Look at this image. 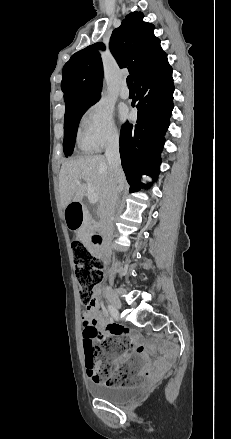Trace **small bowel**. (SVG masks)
<instances>
[{"mask_svg":"<svg viewBox=\"0 0 231 439\" xmlns=\"http://www.w3.org/2000/svg\"><path fill=\"white\" fill-rule=\"evenodd\" d=\"M83 323V347L90 344H97L102 339V332L106 328L111 336H121L125 338L129 343L135 345V349L132 354L126 355L115 361L110 369V374H114L121 364L125 361L131 360V355H135L144 364V374L146 376H153L156 372V368L152 365L150 357L144 346L139 344V340L135 337L131 330L124 326H116L109 323L106 320L104 311L100 309V305L97 300L93 302V305L88 307L82 315ZM165 362L160 367L164 366Z\"/></svg>","mask_w":231,"mask_h":439,"instance_id":"1","label":"small bowel"}]
</instances>
